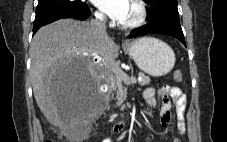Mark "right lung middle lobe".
I'll return each instance as SVG.
<instances>
[{
    "instance_id": "obj_1",
    "label": "right lung middle lobe",
    "mask_w": 227,
    "mask_h": 142,
    "mask_svg": "<svg viewBox=\"0 0 227 142\" xmlns=\"http://www.w3.org/2000/svg\"><path fill=\"white\" fill-rule=\"evenodd\" d=\"M86 6L82 0H38L36 13L60 8H76Z\"/></svg>"
}]
</instances>
